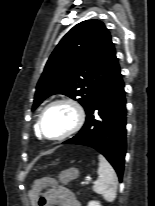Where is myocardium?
Wrapping results in <instances>:
<instances>
[{"label":"myocardium","mask_w":155,"mask_h":206,"mask_svg":"<svg viewBox=\"0 0 155 206\" xmlns=\"http://www.w3.org/2000/svg\"><path fill=\"white\" fill-rule=\"evenodd\" d=\"M58 106H65L72 111L73 122H72V125L61 135L56 136V137H48L42 131L43 118L49 110H51L52 108L58 107ZM85 119H86V113H85V109L82 106V104L75 98L63 97V98H59V99H56L50 102L42 110V112L39 115L38 121H37L36 131L39 137L44 138L46 140L62 141L76 134L84 125Z\"/></svg>","instance_id":"f54148a6"}]
</instances>
